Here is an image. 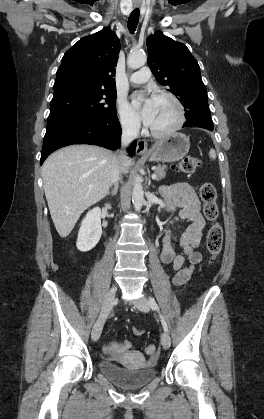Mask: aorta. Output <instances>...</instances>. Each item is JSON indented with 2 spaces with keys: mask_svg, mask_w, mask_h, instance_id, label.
Wrapping results in <instances>:
<instances>
[{
  "mask_svg": "<svg viewBox=\"0 0 264 419\" xmlns=\"http://www.w3.org/2000/svg\"><path fill=\"white\" fill-rule=\"evenodd\" d=\"M147 61L146 54L144 52H134L128 56L127 65L131 69H138L145 65ZM132 201L134 208L137 212H139L144 203V192L143 186L141 183V177L136 176L133 183V190H132Z\"/></svg>",
  "mask_w": 264,
  "mask_h": 419,
  "instance_id": "obj_1",
  "label": "aorta"
}]
</instances>
